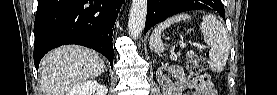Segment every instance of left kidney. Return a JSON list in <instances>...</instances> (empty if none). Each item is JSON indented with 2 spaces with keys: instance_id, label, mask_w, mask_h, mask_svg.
<instances>
[{
  "instance_id": "5707ae66",
  "label": "left kidney",
  "mask_w": 277,
  "mask_h": 95,
  "mask_svg": "<svg viewBox=\"0 0 277 95\" xmlns=\"http://www.w3.org/2000/svg\"><path fill=\"white\" fill-rule=\"evenodd\" d=\"M165 70H168L172 72V67L171 66H162L159 68L156 72L157 75V81L161 85V88L164 93H179L181 92V85L178 82L173 83L170 79L164 76L163 72Z\"/></svg>"
}]
</instances>
